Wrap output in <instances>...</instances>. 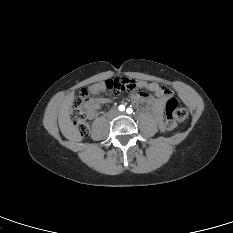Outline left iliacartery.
Instances as JSON below:
<instances>
[{"label":"left iliac artery","mask_w":233,"mask_h":233,"mask_svg":"<svg viewBox=\"0 0 233 233\" xmlns=\"http://www.w3.org/2000/svg\"><path fill=\"white\" fill-rule=\"evenodd\" d=\"M126 112H127L128 114H131V113L133 112V110H132V108H127Z\"/></svg>","instance_id":"1"}]
</instances>
